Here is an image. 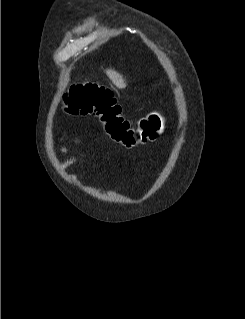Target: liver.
<instances>
[{
  "instance_id": "liver-1",
  "label": "liver",
  "mask_w": 245,
  "mask_h": 319,
  "mask_svg": "<svg viewBox=\"0 0 245 319\" xmlns=\"http://www.w3.org/2000/svg\"><path fill=\"white\" fill-rule=\"evenodd\" d=\"M105 72H106V75L109 77V79L117 88L123 89L126 87V82L123 79V76L120 75L118 72H116L113 69H107Z\"/></svg>"
}]
</instances>
